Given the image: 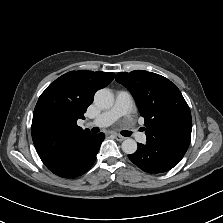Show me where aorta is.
<instances>
[{"label":"aorta","mask_w":223,"mask_h":223,"mask_svg":"<svg viewBox=\"0 0 223 223\" xmlns=\"http://www.w3.org/2000/svg\"><path fill=\"white\" fill-rule=\"evenodd\" d=\"M94 103L101 109H110L114 105V95L108 88L100 89L94 96ZM122 150L126 154H133L137 150V142L128 138L122 142Z\"/></svg>","instance_id":"aorta-1"}]
</instances>
